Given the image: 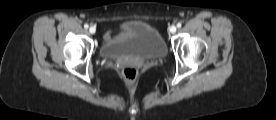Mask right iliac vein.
Instances as JSON below:
<instances>
[{"label": "right iliac vein", "mask_w": 276, "mask_h": 120, "mask_svg": "<svg viewBox=\"0 0 276 120\" xmlns=\"http://www.w3.org/2000/svg\"><path fill=\"white\" fill-rule=\"evenodd\" d=\"M89 32H90L91 34H94V33L96 32L95 27L91 26V27L89 28Z\"/></svg>", "instance_id": "63e3f726"}]
</instances>
